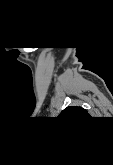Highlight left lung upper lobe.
I'll return each instance as SVG.
<instances>
[{"label":"left lung upper lobe","instance_id":"1","mask_svg":"<svg viewBox=\"0 0 113 165\" xmlns=\"http://www.w3.org/2000/svg\"><path fill=\"white\" fill-rule=\"evenodd\" d=\"M61 115L78 117V116H88V113L85 109L81 107H67L61 112L60 116Z\"/></svg>","mask_w":113,"mask_h":165}]
</instances>
